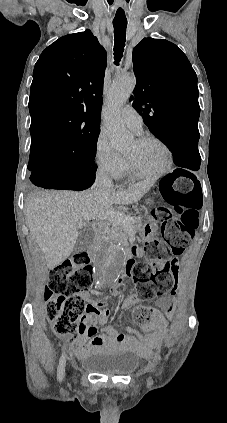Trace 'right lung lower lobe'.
<instances>
[{"label": "right lung lower lobe", "instance_id": "1", "mask_svg": "<svg viewBox=\"0 0 227 423\" xmlns=\"http://www.w3.org/2000/svg\"><path fill=\"white\" fill-rule=\"evenodd\" d=\"M45 168L31 171V182L46 189H69L81 191L90 187L95 180L97 165L86 168L60 159H49L44 163Z\"/></svg>", "mask_w": 227, "mask_h": 423}]
</instances>
